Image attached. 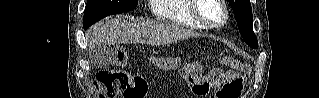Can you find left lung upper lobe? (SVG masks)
Segmentation results:
<instances>
[{"mask_svg": "<svg viewBox=\"0 0 319 98\" xmlns=\"http://www.w3.org/2000/svg\"><path fill=\"white\" fill-rule=\"evenodd\" d=\"M231 5L243 40L251 47L257 48V38L253 32V16L249 0H228Z\"/></svg>", "mask_w": 319, "mask_h": 98, "instance_id": "5c2ea615", "label": "left lung upper lobe"}]
</instances>
